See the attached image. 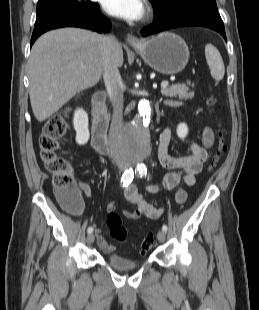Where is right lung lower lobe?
Returning a JSON list of instances; mask_svg holds the SVG:
<instances>
[{"label":"right lung lower lobe","instance_id":"98d812e1","mask_svg":"<svg viewBox=\"0 0 259 310\" xmlns=\"http://www.w3.org/2000/svg\"><path fill=\"white\" fill-rule=\"evenodd\" d=\"M80 27L98 32H107L111 28L110 21L104 17L97 3L88 10L74 14H55L48 16L40 22H35L31 37V45L46 31L60 27Z\"/></svg>","mask_w":259,"mask_h":310}]
</instances>
